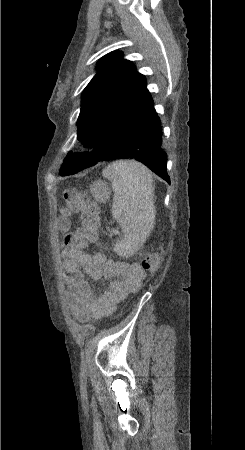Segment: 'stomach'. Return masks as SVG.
<instances>
[{
  "instance_id": "stomach-1",
  "label": "stomach",
  "mask_w": 245,
  "mask_h": 450,
  "mask_svg": "<svg viewBox=\"0 0 245 450\" xmlns=\"http://www.w3.org/2000/svg\"><path fill=\"white\" fill-rule=\"evenodd\" d=\"M90 192L98 203H106L111 195L110 187L101 180H97L90 185Z\"/></svg>"
}]
</instances>
